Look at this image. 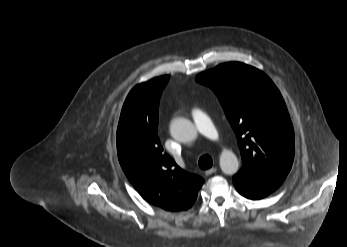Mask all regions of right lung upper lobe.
<instances>
[{"label":"right lung upper lobe","instance_id":"obj_1","mask_svg":"<svg viewBox=\"0 0 347 247\" xmlns=\"http://www.w3.org/2000/svg\"><path fill=\"white\" fill-rule=\"evenodd\" d=\"M168 80L153 78L130 91L117 128V152L123 171L145 200L181 211L193 205L204 180L181 169L160 144L158 106Z\"/></svg>","mask_w":347,"mask_h":247}]
</instances>
